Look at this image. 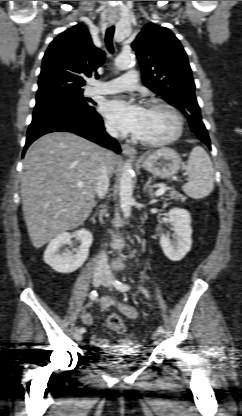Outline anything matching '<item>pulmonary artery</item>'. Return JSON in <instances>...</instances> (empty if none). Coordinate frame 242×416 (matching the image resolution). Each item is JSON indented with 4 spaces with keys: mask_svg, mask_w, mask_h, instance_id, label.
Wrapping results in <instances>:
<instances>
[{
    "mask_svg": "<svg viewBox=\"0 0 242 416\" xmlns=\"http://www.w3.org/2000/svg\"><path fill=\"white\" fill-rule=\"evenodd\" d=\"M139 86L136 70L130 69L123 76L96 82L91 88V94H115L124 91H133Z\"/></svg>",
    "mask_w": 242,
    "mask_h": 416,
    "instance_id": "pulmonary-artery-1",
    "label": "pulmonary artery"
}]
</instances>
